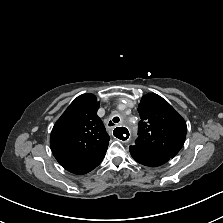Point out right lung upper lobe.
Instances as JSON below:
<instances>
[{"instance_id":"cb5924a9","label":"right lung upper lobe","mask_w":223,"mask_h":223,"mask_svg":"<svg viewBox=\"0 0 223 223\" xmlns=\"http://www.w3.org/2000/svg\"><path fill=\"white\" fill-rule=\"evenodd\" d=\"M93 94L77 97L55 123L50 146L56 160L69 172L83 175L103 160L110 137L97 116Z\"/></svg>"}]
</instances>
